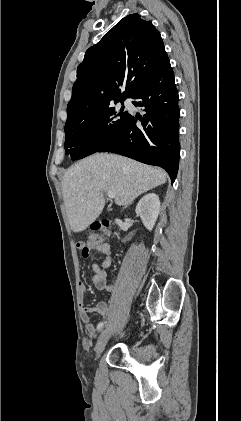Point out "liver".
Wrapping results in <instances>:
<instances>
[{
    "label": "liver",
    "instance_id": "liver-1",
    "mask_svg": "<svg viewBox=\"0 0 241 421\" xmlns=\"http://www.w3.org/2000/svg\"><path fill=\"white\" fill-rule=\"evenodd\" d=\"M166 180L162 169L120 155L96 153L77 162L62 180L71 229L81 232L99 217L105 206L104 193L114 191L115 203L126 206Z\"/></svg>",
    "mask_w": 241,
    "mask_h": 421
}]
</instances>
